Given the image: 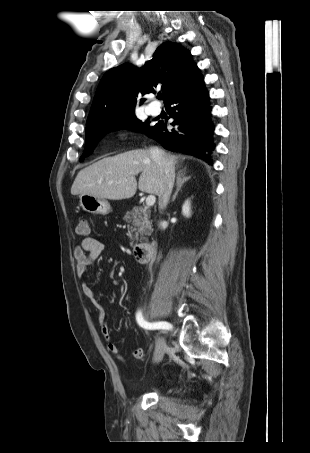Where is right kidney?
Wrapping results in <instances>:
<instances>
[{
    "instance_id": "ca27d5eb",
    "label": "right kidney",
    "mask_w": 310,
    "mask_h": 453,
    "mask_svg": "<svg viewBox=\"0 0 310 453\" xmlns=\"http://www.w3.org/2000/svg\"><path fill=\"white\" fill-rule=\"evenodd\" d=\"M182 214L185 217H190V215H191V207H190V201L189 200H186L185 203L183 204Z\"/></svg>"
}]
</instances>
